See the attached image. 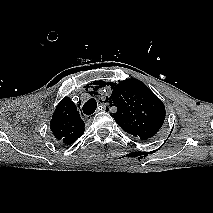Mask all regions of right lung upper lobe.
I'll use <instances>...</instances> for the list:
<instances>
[{
  "label": "right lung upper lobe",
  "instance_id": "right-lung-upper-lobe-1",
  "mask_svg": "<svg viewBox=\"0 0 213 213\" xmlns=\"http://www.w3.org/2000/svg\"><path fill=\"white\" fill-rule=\"evenodd\" d=\"M85 123L70 98H63L50 121V129L60 144L70 145L84 133Z\"/></svg>",
  "mask_w": 213,
  "mask_h": 213
}]
</instances>
